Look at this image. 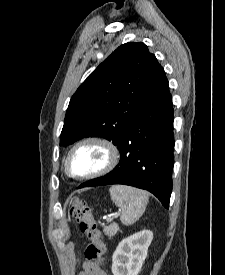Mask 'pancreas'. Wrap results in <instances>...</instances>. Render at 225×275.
<instances>
[{
	"mask_svg": "<svg viewBox=\"0 0 225 275\" xmlns=\"http://www.w3.org/2000/svg\"><path fill=\"white\" fill-rule=\"evenodd\" d=\"M118 230L119 227L117 223H111L110 225L103 227V232L108 237L115 236Z\"/></svg>",
	"mask_w": 225,
	"mask_h": 275,
	"instance_id": "cf45deb5",
	"label": "pancreas"
}]
</instances>
